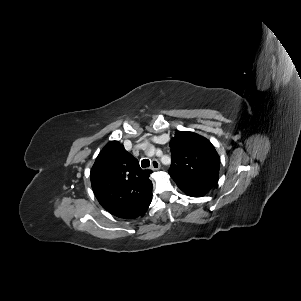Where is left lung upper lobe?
I'll return each mask as SVG.
<instances>
[{
  "mask_svg": "<svg viewBox=\"0 0 301 301\" xmlns=\"http://www.w3.org/2000/svg\"><path fill=\"white\" fill-rule=\"evenodd\" d=\"M169 175L186 194L205 195L218 182L220 159L211 142L193 132L179 131L169 143Z\"/></svg>",
  "mask_w": 301,
  "mask_h": 301,
  "instance_id": "obj_1",
  "label": "left lung upper lobe"
}]
</instances>
